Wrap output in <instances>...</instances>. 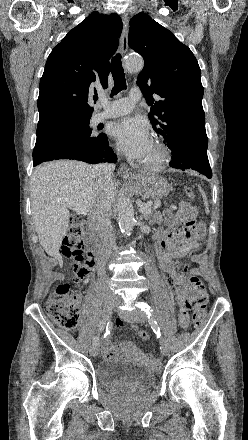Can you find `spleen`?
Instances as JSON below:
<instances>
[{"mask_svg":"<svg viewBox=\"0 0 248 440\" xmlns=\"http://www.w3.org/2000/svg\"><path fill=\"white\" fill-rule=\"evenodd\" d=\"M199 190H200V192H201V194H202V196H203V201H204V205H205V208H206V213L208 214L209 213V206H208V201H207V197H206V195H205V193H204V191L199 187Z\"/></svg>","mask_w":248,"mask_h":440,"instance_id":"1","label":"spleen"}]
</instances>
